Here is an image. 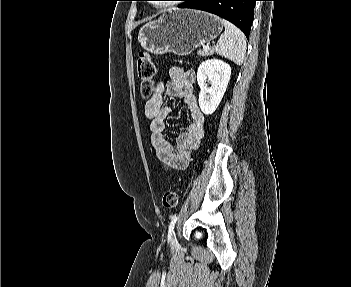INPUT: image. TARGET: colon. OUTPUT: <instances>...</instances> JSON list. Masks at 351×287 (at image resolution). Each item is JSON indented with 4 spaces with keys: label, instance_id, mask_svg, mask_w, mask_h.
Listing matches in <instances>:
<instances>
[{
    "label": "colon",
    "instance_id": "1",
    "mask_svg": "<svg viewBox=\"0 0 351 287\" xmlns=\"http://www.w3.org/2000/svg\"><path fill=\"white\" fill-rule=\"evenodd\" d=\"M137 74L140 79L141 93L147 98L154 91V77L156 65L153 58L146 52H141L137 58ZM179 202V195L176 191H168L163 196V206L167 209H174Z\"/></svg>",
    "mask_w": 351,
    "mask_h": 287
}]
</instances>
